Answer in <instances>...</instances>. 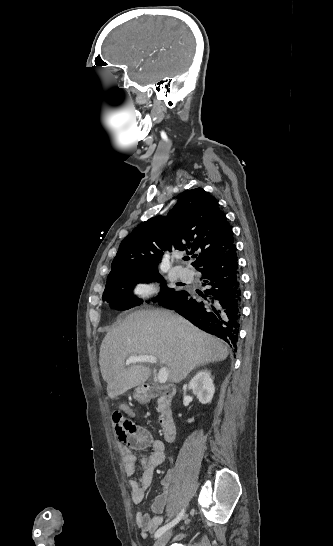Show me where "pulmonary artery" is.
I'll return each instance as SVG.
<instances>
[{"instance_id":"e3ab8cb5","label":"pulmonary artery","mask_w":333,"mask_h":546,"mask_svg":"<svg viewBox=\"0 0 333 546\" xmlns=\"http://www.w3.org/2000/svg\"><path fill=\"white\" fill-rule=\"evenodd\" d=\"M178 276L183 281H191L193 279L194 273L189 268H181L178 271Z\"/></svg>"}]
</instances>
